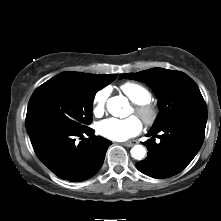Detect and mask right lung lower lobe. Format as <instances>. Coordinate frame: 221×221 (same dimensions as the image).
<instances>
[{"mask_svg": "<svg viewBox=\"0 0 221 221\" xmlns=\"http://www.w3.org/2000/svg\"><path fill=\"white\" fill-rule=\"evenodd\" d=\"M26 129L40 161L59 178L73 182L95 175L112 144L101 136L91 138V128L77 131L55 124H37Z\"/></svg>", "mask_w": 221, "mask_h": 221, "instance_id": "1", "label": "right lung lower lobe"}]
</instances>
